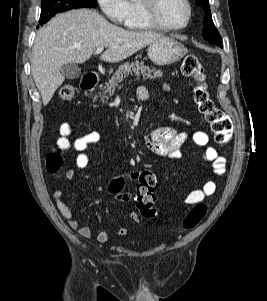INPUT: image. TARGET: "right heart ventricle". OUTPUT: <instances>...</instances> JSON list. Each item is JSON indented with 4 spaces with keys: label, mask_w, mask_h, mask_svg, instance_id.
Instances as JSON below:
<instances>
[{
    "label": "right heart ventricle",
    "mask_w": 267,
    "mask_h": 301,
    "mask_svg": "<svg viewBox=\"0 0 267 301\" xmlns=\"http://www.w3.org/2000/svg\"><path fill=\"white\" fill-rule=\"evenodd\" d=\"M125 26L130 30L136 31H157L158 28L154 27L147 21L141 9L140 0H128V18Z\"/></svg>",
    "instance_id": "e07e8e85"
}]
</instances>
